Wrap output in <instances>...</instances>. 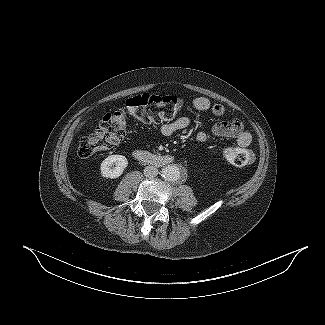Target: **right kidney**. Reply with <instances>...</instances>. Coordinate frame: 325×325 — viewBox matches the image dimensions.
<instances>
[{
	"label": "right kidney",
	"instance_id": "right-kidney-1",
	"mask_svg": "<svg viewBox=\"0 0 325 325\" xmlns=\"http://www.w3.org/2000/svg\"><path fill=\"white\" fill-rule=\"evenodd\" d=\"M128 165V160L123 155H110L101 163V175L105 178L115 179L122 175Z\"/></svg>",
	"mask_w": 325,
	"mask_h": 325
}]
</instances>
